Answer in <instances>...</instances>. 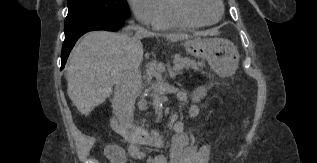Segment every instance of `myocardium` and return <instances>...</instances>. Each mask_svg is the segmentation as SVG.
Listing matches in <instances>:
<instances>
[{"label":"myocardium","mask_w":317,"mask_h":163,"mask_svg":"<svg viewBox=\"0 0 317 163\" xmlns=\"http://www.w3.org/2000/svg\"><path fill=\"white\" fill-rule=\"evenodd\" d=\"M185 2L186 0H169V9L176 20L188 26L197 27L212 25L219 22L223 17L224 5L222 0H217L220 8L219 16L211 21H204L191 17L186 11Z\"/></svg>","instance_id":"myocardium-1"}]
</instances>
